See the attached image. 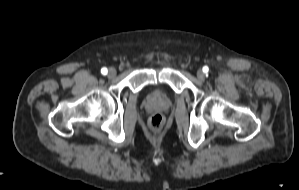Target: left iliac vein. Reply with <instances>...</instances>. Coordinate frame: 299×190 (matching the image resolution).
<instances>
[{"label": "left iliac vein", "instance_id": "obj_1", "mask_svg": "<svg viewBox=\"0 0 299 190\" xmlns=\"http://www.w3.org/2000/svg\"><path fill=\"white\" fill-rule=\"evenodd\" d=\"M197 78L200 80V81H203L205 79V73L202 71V70H199L197 72Z\"/></svg>", "mask_w": 299, "mask_h": 190}]
</instances>
